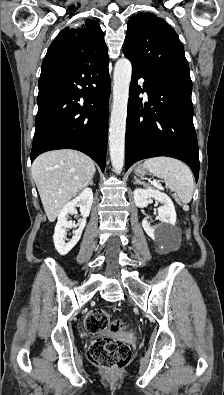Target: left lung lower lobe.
<instances>
[{
    "label": "left lung lower lobe",
    "instance_id": "obj_1",
    "mask_svg": "<svg viewBox=\"0 0 224 395\" xmlns=\"http://www.w3.org/2000/svg\"><path fill=\"white\" fill-rule=\"evenodd\" d=\"M145 80L144 90L137 80ZM148 103L142 104L140 92ZM192 82L132 65L126 123L125 170L141 159L169 156L199 175L198 143L193 125Z\"/></svg>",
    "mask_w": 224,
    "mask_h": 395
}]
</instances>
